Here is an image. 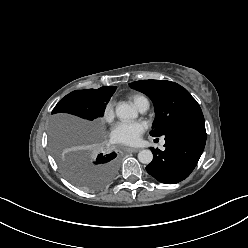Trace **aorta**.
<instances>
[{"mask_svg":"<svg viewBox=\"0 0 248 248\" xmlns=\"http://www.w3.org/2000/svg\"><path fill=\"white\" fill-rule=\"evenodd\" d=\"M116 116L120 119L126 120V119H134L137 117V112L136 110L131 107L129 104L123 102L119 103L116 106ZM153 159V154L150 150L145 149L141 150L138 153V160L143 163V164H149L151 163Z\"/></svg>","mask_w":248,"mask_h":248,"instance_id":"aorta-1","label":"aorta"}]
</instances>
